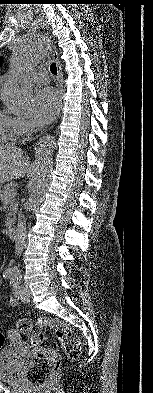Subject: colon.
I'll return each mask as SVG.
<instances>
[{
    "label": "colon",
    "mask_w": 153,
    "mask_h": 393,
    "mask_svg": "<svg viewBox=\"0 0 153 393\" xmlns=\"http://www.w3.org/2000/svg\"><path fill=\"white\" fill-rule=\"evenodd\" d=\"M39 325L50 327L55 331L69 359L78 360L81 357L83 343L69 326L60 320L47 317H41ZM17 326L20 332L30 335L36 343L43 339L41 333L34 330L30 320L20 319ZM4 343V337L0 334V348ZM60 361V356L54 349L37 347L33 350L28 369L25 372V379L36 393H41L44 390L46 383L60 366Z\"/></svg>",
    "instance_id": "colon-1"
}]
</instances>
